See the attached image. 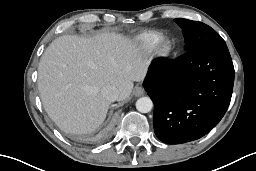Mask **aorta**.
Here are the masks:
<instances>
[{
    "label": "aorta",
    "mask_w": 256,
    "mask_h": 171,
    "mask_svg": "<svg viewBox=\"0 0 256 171\" xmlns=\"http://www.w3.org/2000/svg\"><path fill=\"white\" fill-rule=\"evenodd\" d=\"M153 108V102L149 97H141L136 101V109L141 113H148Z\"/></svg>",
    "instance_id": "obj_1"
}]
</instances>
